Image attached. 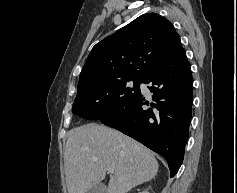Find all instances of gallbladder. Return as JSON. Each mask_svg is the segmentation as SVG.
Here are the masks:
<instances>
[{"mask_svg":"<svg viewBox=\"0 0 237 193\" xmlns=\"http://www.w3.org/2000/svg\"><path fill=\"white\" fill-rule=\"evenodd\" d=\"M87 193H107V188L104 184L97 183L92 188H90Z\"/></svg>","mask_w":237,"mask_h":193,"instance_id":"1","label":"gallbladder"}]
</instances>
